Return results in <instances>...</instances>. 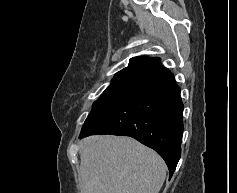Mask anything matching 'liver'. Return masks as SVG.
Masks as SVG:
<instances>
[{
	"label": "liver",
	"instance_id": "obj_1",
	"mask_svg": "<svg viewBox=\"0 0 237 193\" xmlns=\"http://www.w3.org/2000/svg\"><path fill=\"white\" fill-rule=\"evenodd\" d=\"M166 164L131 137H88L80 152L81 193H158Z\"/></svg>",
	"mask_w": 237,
	"mask_h": 193
}]
</instances>
